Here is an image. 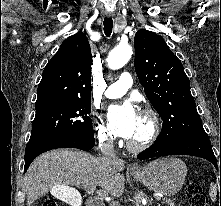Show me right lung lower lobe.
<instances>
[{
  "label": "right lung lower lobe",
  "instance_id": "98d812e1",
  "mask_svg": "<svg viewBox=\"0 0 221 206\" xmlns=\"http://www.w3.org/2000/svg\"><path fill=\"white\" fill-rule=\"evenodd\" d=\"M95 145L94 135H64L50 136L29 140L25 150V168L27 171L31 162L41 153L57 148H78L90 150Z\"/></svg>",
  "mask_w": 221,
  "mask_h": 206
}]
</instances>
